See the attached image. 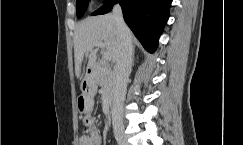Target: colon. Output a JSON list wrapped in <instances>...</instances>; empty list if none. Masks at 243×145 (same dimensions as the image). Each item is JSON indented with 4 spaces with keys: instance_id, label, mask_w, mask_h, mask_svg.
<instances>
[{
    "instance_id": "colon-1",
    "label": "colon",
    "mask_w": 243,
    "mask_h": 145,
    "mask_svg": "<svg viewBox=\"0 0 243 145\" xmlns=\"http://www.w3.org/2000/svg\"><path fill=\"white\" fill-rule=\"evenodd\" d=\"M90 131L89 129V120H86V132L88 133Z\"/></svg>"
}]
</instances>
